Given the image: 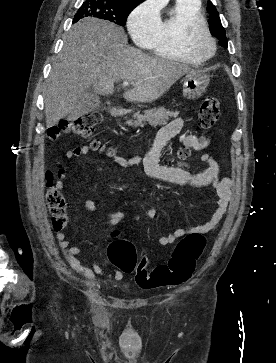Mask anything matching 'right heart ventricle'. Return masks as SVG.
Here are the masks:
<instances>
[{
    "label": "right heart ventricle",
    "instance_id": "right-heart-ventricle-1",
    "mask_svg": "<svg viewBox=\"0 0 276 363\" xmlns=\"http://www.w3.org/2000/svg\"><path fill=\"white\" fill-rule=\"evenodd\" d=\"M192 21L206 23L200 1L176 0L172 13L161 20L155 37L145 46L156 56L194 66L200 65L183 48V30Z\"/></svg>",
    "mask_w": 276,
    "mask_h": 363
}]
</instances>
